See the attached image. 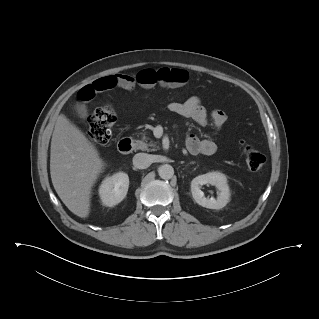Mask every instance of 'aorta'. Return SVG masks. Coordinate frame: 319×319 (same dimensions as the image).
<instances>
[{"label":"aorta","instance_id":"obj_1","mask_svg":"<svg viewBox=\"0 0 319 319\" xmlns=\"http://www.w3.org/2000/svg\"><path fill=\"white\" fill-rule=\"evenodd\" d=\"M158 174L162 179L168 180L173 177L174 169L171 165L164 164L158 168Z\"/></svg>","mask_w":319,"mask_h":319}]
</instances>
